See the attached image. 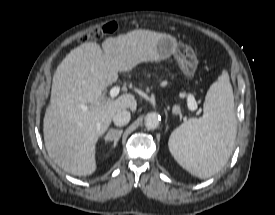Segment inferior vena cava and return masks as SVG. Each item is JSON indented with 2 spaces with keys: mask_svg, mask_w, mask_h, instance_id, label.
Segmentation results:
<instances>
[{
  "mask_svg": "<svg viewBox=\"0 0 275 215\" xmlns=\"http://www.w3.org/2000/svg\"><path fill=\"white\" fill-rule=\"evenodd\" d=\"M130 112L126 109L120 110L113 115V122L116 126H124L130 121Z\"/></svg>",
  "mask_w": 275,
  "mask_h": 215,
  "instance_id": "obj_1",
  "label": "inferior vena cava"
}]
</instances>
